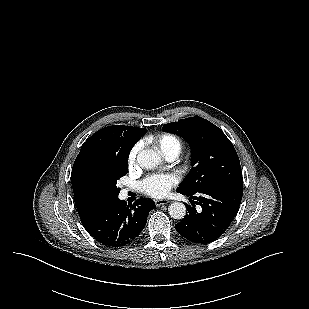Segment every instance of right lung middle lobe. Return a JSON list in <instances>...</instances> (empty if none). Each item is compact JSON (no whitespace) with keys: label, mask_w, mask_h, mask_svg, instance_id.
<instances>
[{"label":"right lung middle lobe","mask_w":309,"mask_h":309,"mask_svg":"<svg viewBox=\"0 0 309 309\" xmlns=\"http://www.w3.org/2000/svg\"><path fill=\"white\" fill-rule=\"evenodd\" d=\"M128 156L129 152H112L100 162L98 178L106 199L118 197L120 188L116 184L119 178L127 174Z\"/></svg>","instance_id":"obj_1"}]
</instances>
